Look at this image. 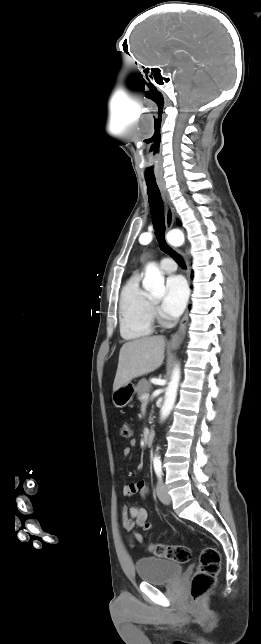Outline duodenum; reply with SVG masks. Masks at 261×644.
Returning <instances> with one entry per match:
<instances>
[{
	"mask_svg": "<svg viewBox=\"0 0 261 644\" xmlns=\"http://www.w3.org/2000/svg\"><path fill=\"white\" fill-rule=\"evenodd\" d=\"M154 438H155V433H154V431L150 430L147 433L146 438H145L146 445L151 446L153 444V442H154Z\"/></svg>",
	"mask_w": 261,
	"mask_h": 644,
	"instance_id": "1",
	"label": "duodenum"
}]
</instances>
